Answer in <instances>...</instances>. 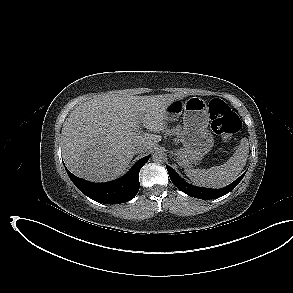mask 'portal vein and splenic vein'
I'll return each instance as SVG.
<instances>
[{
  "label": "portal vein and splenic vein",
  "instance_id": "1",
  "mask_svg": "<svg viewBox=\"0 0 293 293\" xmlns=\"http://www.w3.org/2000/svg\"><path fill=\"white\" fill-rule=\"evenodd\" d=\"M137 131H138V132H141V128H139V126L137 127Z\"/></svg>",
  "mask_w": 293,
  "mask_h": 293
}]
</instances>
